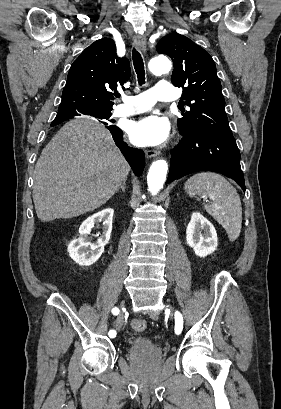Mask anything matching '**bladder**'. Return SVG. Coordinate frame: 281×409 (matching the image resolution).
I'll return each instance as SVG.
<instances>
[{
    "label": "bladder",
    "mask_w": 281,
    "mask_h": 409,
    "mask_svg": "<svg viewBox=\"0 0 281 409\" xmlns=\"http://www.w3.org/2000/svg\"><path fill=\"white\" fill-rule=\"evenodd\" d=\"M127 349L132 355H161L159 342L147 337L133 338Z\"/></svg>",
    "instance_id": "obj_1"
}]
</instances>
